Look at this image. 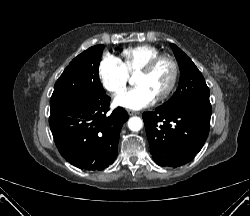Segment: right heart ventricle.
Listing matches in <instances>:
<instances>
[{
    "label": "right heart ventricle",
    "mask_w": 250,
    "mask_h": 216,
    "mask_svg": "<svg viewBox=\"0 0 250 216\" xmlns=\"http://www.w3.org/2000/svg\"><path fill=\"white\" fill-rule=\"evenodd\" d=\"M160 52L148 45L137 46L123 52L122 64L130 74H136L148 62L159 56Z\"/></svg>",
    "instance_id": "obj_1"
}]
</instances>
